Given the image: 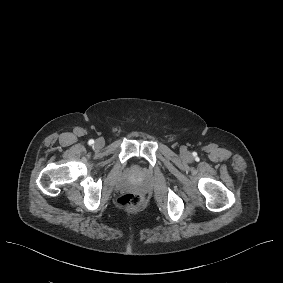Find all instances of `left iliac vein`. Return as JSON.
Returning a JSON list of instances; mask_svg holds the SVG:
<instances>
[{"label":"left iliac vein","mask_w":283,"mask_h":283,"mask_svg":"<svg viewBox=\"0 0 283 283\" xmlns=\"http://www.w3.org/2000/svg\"><path fill=\"white\" fill-rule=\"evenodd\" d=\"M182 157L188 162L191 161V155L187 151L183 152Z\"/></svg>","instance_id":"1"}]
</instances>
